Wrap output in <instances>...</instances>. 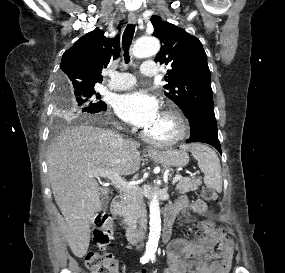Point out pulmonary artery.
I'll return each instance as SVG.
<instances>
[{"label": "pulmonary artery", "instance_id": "pulmonary-artery-1", "mask_svg": "<svg viewBox=\"0 0 285 273\" xmlns=\"http://www.w3.org/2000/svg\"><path fill=\"white\" fill-rule=\"evenodd\" d=\"M140 72L145 76H156L158 69L154 61H146L140 67ZM110 82L107 84L112 90H126L136 84V79L131 73L110 71Z\"/></svg>", "mask_w": 285, "mask_h": 273}]
</instances>
